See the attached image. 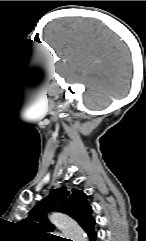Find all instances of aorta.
Segmentation results:
<instances>
[{"mask_svg": "<svg viewBox=\"0 0 146 241\" xmlns=\"http://www.w3.org/2000/svg\"><path fill=\"white\" fill-rule=\"evenodd\" d=\"M50 219L67 239L72 241H88L82 228L69 216L56 212L51 215Z\"/></svg>", "mask_w": 146, "mask_h": 241, "instance_id": "762f6f07", "label": "aorta"}]
</instances>
